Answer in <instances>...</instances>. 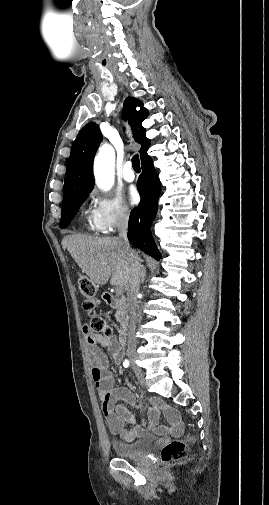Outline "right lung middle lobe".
Here are the masks:
<instances>
[{"label":"right lung middle lobe","mask_w":269,"mask_h":505,"mask_svg":"<svg viewBox=\"0 0 269 505\" xmlns=\"http://www.w3.org/2000/svg\"><path fill=\"white\" fill-rule=\"evenodd\" d=\"M91 190H87L81 193H78L67 200L63 201V209H62V217L60 220V227L65 228L69 225L71 220L74 218L77 210L80 207V204L87 198L88 193Z\"/></svg>","instance_id":"1"}]
</instances>
